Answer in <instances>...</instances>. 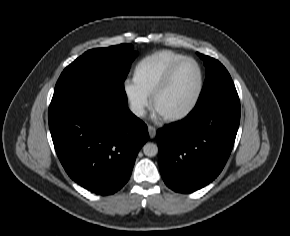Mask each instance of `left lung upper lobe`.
Returning a JSON list of instances; mask_svg holds the SVG:
<instances>
[{
  "mask_svg": "<svg viewBox=\"0 0 290 236\" xmlns=\"http://www.w3.org/2000/svg\"><path fill=\"white\" fill-rule=\"evenodd\" d=\"M198 55L204 61L206 79L195 108H199L221 94L235 89L230 74L218 60L199 53Z\"/></svg>",
  "mask_w": 290,
  "mask_h": 236,
  "instance_id": "left-lung-upper-lobe-1",
  "label": "left lung upper lobe"
}]
</instances>
